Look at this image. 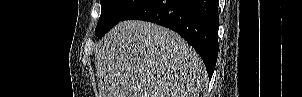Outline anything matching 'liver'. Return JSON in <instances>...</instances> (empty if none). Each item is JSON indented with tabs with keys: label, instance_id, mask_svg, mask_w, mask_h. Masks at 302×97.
<instances>
[{
	"label": "liver",
	"instance_id": "1",
	"mask_svg": "<svg viewBox=\"0 0 302 97\" xmlns=\"http://www.w3.org/2000/svg\"><path fill=\"white\" fill-rule=\"evenodd\" d=\"M99 97H199L202 59L174 31L154 23H118L95 54Z\"/></svg>",
	"mask_w": 302,
	"mask_h": 97
}]
</instances>
